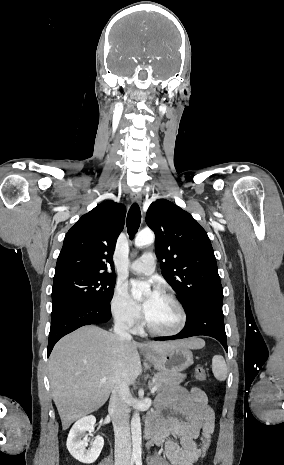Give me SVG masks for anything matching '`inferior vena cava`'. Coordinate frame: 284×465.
<instances>
[{
    "instance_id": "inferior-vena-cava-1",
    "label": "inferior vena cava",
    "mask_w": 284,
    "mask_h": 465,
    "mask_svg": "<svg viewBox=\"0 0 284 465\" xmlns=\"http://www.w3.org/2000/svg\"><path fill=\"white\" fill-rule=\"evenodd\" d=\"M126 319L118 317L114 325V333L121 339L131 341ZM129 401L130 391L128 385L121 383L116 385L112 391L109 403V415L112 419L115 433V465H130L131 459V437L129 427Z\"/></svg>"
}]
</instances>
